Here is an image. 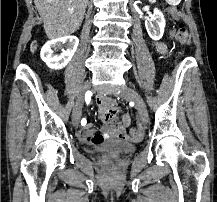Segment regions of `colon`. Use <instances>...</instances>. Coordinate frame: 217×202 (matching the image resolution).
Segmentation results:
<instances>
[{"label": "colon", "instance_id": "5ec220e1", "mask_svg": "<svg viewBox=\"0 0 217 202\" xmlns=\"http://www.w3.org/2000/svg\"><path fill=\"white\" fill-rule=\"evenodd\" d=\"M173 34H174L175 40L179 44L184 45V44H187L189 42V35H188V32H187L186 26H185V24L183 22L179 21L177 23ZM30 47H31L32 50H34L37 47V41H32ZM131 131L132 132H137L138 128L137 127H132ZM115 162H116L115 158L111 157L109 159V164L110 165H114Z\"/></svg>", "mask_w": 217, "mask_h": 202}]
</instances>
